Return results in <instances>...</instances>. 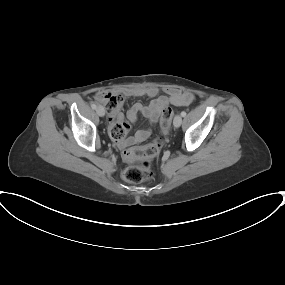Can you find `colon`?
<instances>
[{"label": "colon", "instance_id": "obj_1", "mask_svg": "<svg viewBox=\"0 0 285 285\" xmlns=\"http://www.w3.org/2000/svg\"><path fill=\"white\" fill-rule=\"evenodd\" d=\"M97 99L105 106L109 114L118 113L121 109L122 98L116 94L100 92L97 95ZM172 118V110L170 108L165 109L160 119V126L163 131L170 128ZM127 131L128 125L124 123L122 126L111 129L110 136L114 141L121 142L125 138ZM162 145V140L156 138L146 145L126 148L123 152V156L126 160L142 159L143 161L139 165L128 166L123 172L124 178L132 183H139L151 179L152 169L150 159L158 155Z\"/></svg>", "mask_w": 285, "mask_h": 285}]
</instances>
